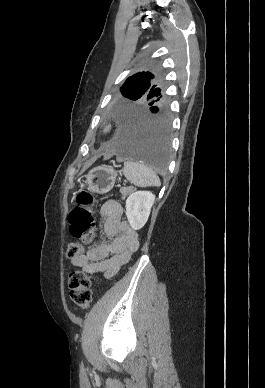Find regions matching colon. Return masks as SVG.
<instances>
[{"label": "colon", "mask_w": 265, "mask_h": 388, "mask_svg": "<svg viewBox=\"0 0 265 388\" xmlns=\"http://www.w3.org/2000/svg\"><path fill=\"white\" fill-rule=\"evenodd\" d=\"M77 206L69 215V229L74 238L83 243H90L96 236L95 215L93 209V196L87 190H82L76 196ZM83 253L81 243H71L67 249L70 259L76 258ZM93 279L81 271H73L69 275L70 298L77 306L88 308L92 302Z\"/></svg>", "instance_id": "obj_1"}]
</instances>
